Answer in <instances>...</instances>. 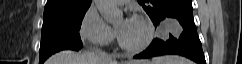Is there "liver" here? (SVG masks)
<instances>
[{"mask_svg": "<svg viewBox=\"0 0 242 64\" xmlns=\"http://www.w3.org/2000/svg\"><path fill=\"white\" fill-rule=\"evenodd\" d=\"M46 64H118L114 60L102 61L94 53L79 54L73 51H61L52 55ZM128 64H151L149 61H133Z\"/></svg>", "mask_w": 242, "mask_h": 64, "instance_id": "6515ba94", "label": "liver"}]
</instances>
